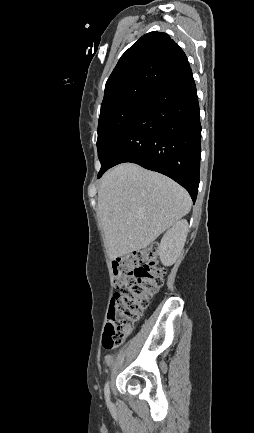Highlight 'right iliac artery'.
Segmentation results:
<instances>
[{"mask_svg":"<svg viewBox=\"0 0 254 433\" xmlns=\"http://www.w3.org/2000/svg\"><path fill=\"white\" fill-rule=\"evenodd\" d=\"M104 393H105V398H106L107 402H109V401H110L109 382H107V383L105 384Z\"/></svg>","mask_w":254,"mask_h":433,"instance_id":"obj_1","label":"right iliac artery"}]
</instances>
